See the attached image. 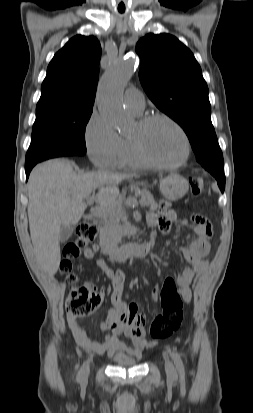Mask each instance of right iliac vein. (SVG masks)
<instances>
[{
    "mask_svg": "<svg viewBox=\"0 0 253 413\" xmlns=\"http://www.w3.org/2000/svg\"><path fill=\"white\" fill-rule=\"evenodd\" d=\"M89 370H90V365L89 362H85L79 372V379L80 380H85L88 377L89 374Z\"/></svg>",
    "mask_w": 253,
    "mask_h": 413,
    "instance_id": "obj_1",
    "label": "right iliac vein"
}]
</instances>
